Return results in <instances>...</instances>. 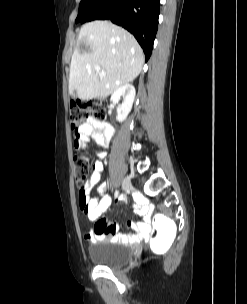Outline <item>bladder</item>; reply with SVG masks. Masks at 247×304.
<instances>
[{
    "label": "bladder",
    "mask_w": 247,
    "mask_h": 304,
    "mask_svg": "<svg viewBox=\"0 0 247 304\" xmlns=\"http://www.w3.org/2000/svg\"><path fill=\"white\" fill-rule=\"evenodd\" d=\"M131 255L129 245L112 240H102L88 249L89 259L100 266L119 268L123 266Z\"/></svg>",
    "instance_id": "31cf9c89"
}]
</instances>
